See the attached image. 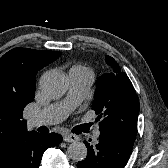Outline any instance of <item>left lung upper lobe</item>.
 I'll return each mask as SVG.
<instances>
[{
  "mask_svg": "<svg viewBox=\"0 0 168 168\" xmlns=\"http://www.w3.org/2000/svg\"><path fill=\"white\" fill-rule=\"evenodd\" d=\"M105 61L111 69L98 78L92 104L99 115L97 118L102 117L99 130L113 131L135 140L140 108L138 97L118 63L110 56H106Z\"/></svg>",
  "mask_w": 168,
  "mask_h": 168,
  "instance_id": "left-lung-upper-lobe-1",
  "label": "left lung upper lobe"
}]
</instances>
